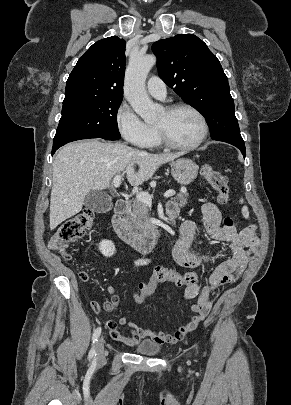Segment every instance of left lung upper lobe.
<instances>
[{
  "label": "left lung upper lobe",
  "instance_id": "obj_1",
  "mask_svg": "<svg viewBox=\"0 0 291 405\" xmlns=\"http://www.w3.org/2000/svg\"><path fill=\"white\" fill-rule=\"evenodd\" d=\"M160 78L206 118L212 139H242L228 79L217 57L193 34L152 45Z\"/></svg>",
  "mask_w": 291,
  "mask_h": 405
}]
</instances>
